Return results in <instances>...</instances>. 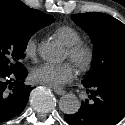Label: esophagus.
Masks as SVG:
<instances>
[{
	"label": "esophagus",
	"mask_w": 125,
	"mask_h": 125,
	"mask_svg": "<svg viewBox=\"0 0 125 125\" xmlns=\"http://www.w3.org/2000/svg\"><path fill=\"white\" fill-rule=\"evenodd\" d=\"M53 90L58 95H64L66 93V91L61 88H53Z\"/></svg>",
	"instance_id": "esophagus-1"
}]
</instances>
